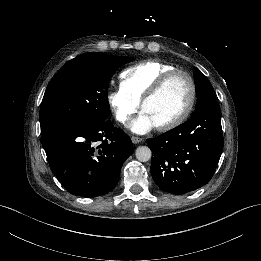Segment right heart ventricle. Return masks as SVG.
I'll return each mask as SVG.
<instances>
[{
	"mask_svg": "<svg viewBox=\"0 0 261 261\" xmlns=\"http://www.w3.org/2000/svg\"><path fill=\"white\" fill-rule=\"evenodd\" d=\"M174 69L173 65L158 59L141 61L121 72L120 88L140 103L152 86L165 73Z\"/></svg>",
	"mask_w": 261,
	"mask_h": 261,
	"instance_id": "right-heart-ventricle-1",
	"label": "right heart ventricle"
}]
</instances>
